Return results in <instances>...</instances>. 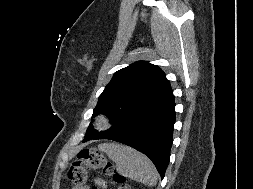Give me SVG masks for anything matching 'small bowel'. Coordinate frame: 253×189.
I'll use <instances>...</instances> for the list:
<instances>
[{
	"mask_svg": "<svg viewBox=\"0 0 253 189\" xmlns=\"http://www.w3.org/2000/svg\"><path fill=\"white\" fill-rule=\"evenodd\" d=\"M95 183L100 186L101 188H105L106 187V184H105V181L102 180V179H96L95 180Z\"/></svg>",
	"mask_w": 253,
	"mask_h": 189,
	"instance_id": "1",
	"label": "small bowel"
}]
</instances>
